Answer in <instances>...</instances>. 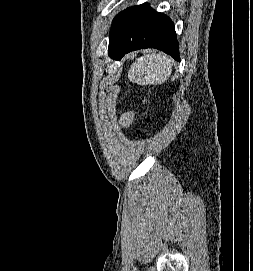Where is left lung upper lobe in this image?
I'll return each instance as SVG.
<instances>
[{"label":"left lung upper lobe","mask_w":253,"mask_h":271,"mask_svg":"<svg viewBox=\"0 0 253 271\" xmlns=\"http://www.w3.org/2000/svg\"><path fill=\"white\" fill-rule=\"evenodd\" d=\"M122 14H123V11L120 12V13L113 19L109 37H110V36L112 35V33L114 32V30H115V28H116V26H117V24H118V22H119V19H120L121 16H122Z\"/></svg>","instance_id":"left-lung-upper-lobe-1"}]
</instances>
